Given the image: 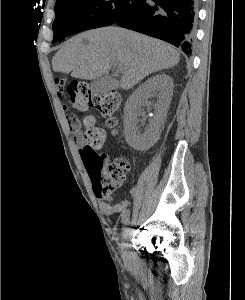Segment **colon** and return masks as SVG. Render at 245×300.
Instances as JSON below:
<instances>
[{
    "instance_id": "1",
    "label": "colon",
    "mask_w": 245,
    "mask_h": 300,
    "mask_svg": "<svg viewBox=\"0 0 245 300\" xmlns=\"http://www.w3.org/2000/svg\"><path fill=\"white\" fill-rule=\"evenodd\" d=\"M59 94H65L70 102L78 109L84 110L92 107L106 118V125L114 129L117 126V117L120 106V96L115 91L94 93L88 83L74 81L67 84L64 78L56 80ZM84 144L80 148V154L84 165L91 178L95 193L99 197H109L112 192L120 187L129 169L126 160L118 158L108 162L104 154L98 150L105 142V132L95 125L92 116L84 118Z\"/></svg>"
}]
</instances>
